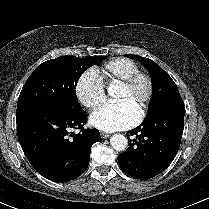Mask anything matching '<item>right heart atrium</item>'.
Returning <instances> with one entry per match:
<instances>
[{
	"label": "right heart atrium",
	"instance_id": "1",
	"mask_svg": "<svg viewBox=\"0 0 209 209\" xmlns=\"http://www.w3.org/2000/svg\"><path fill=\"white\" fill-rule=\"evenodd\" d=\"M75 91L79 102L90 110L100 106L106 98L105 85L93 70L81 74Z\"/></svg>",
	"mask_w": 209,
	"mask_h": 209
}]
</instances>
